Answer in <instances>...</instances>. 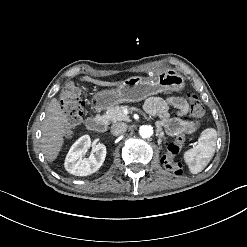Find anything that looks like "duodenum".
<instances>
[{
	"label": "duodenum",
	"mask_w": 247,
	"mask_h": 247,
	"mask_svg": "<svg viewBox=\"0 0 247 247\" xmlns=\"http://www.w3.org/2000/svg\"><path fill=\"white\" fill-rule=\"evenodd\" d=\"M87 128L98 132L103 133L107 129V124L103 116L101 115H93L87 120Z\"/></svg>",
	"instance_id": "obj_1"
}]
</instances>
